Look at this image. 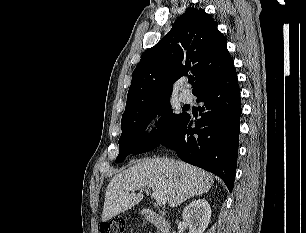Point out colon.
<instances>
[{
	"label": "colon",
	"mask_w": 306,
	"mask_h": 233,
	"mask_svg": "<svg viewBox=\"0 0 306 233\" xmlns=\"http://www.w3.org/2000/svg\"><path fill=\"white\" fill-rule=\"evenodd\" d=\"M101 233H124L125 221L120 218L112 219L101 224Z\"/></svg>",
	"instance_id": "colon-1"
}]
</instances>
